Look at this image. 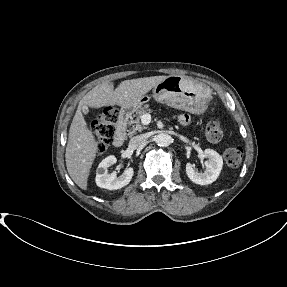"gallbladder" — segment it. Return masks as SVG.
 Listing matches in <instances>:
<instances>
[{"label":"gallbladder","instance_id":"obj_1","mask_svg":"<svg viewBox=\"0 0 287 287\" xmlns=\"http://www.w3.org/2000/svg\"><path fill=\"white\" fill-rule=\"evenodd\" d=\"M82 113H83L84 115H88V114H89V109H88L87 106H83V107H82Z\"/></svg>","mask_w":287,"mask_h":287}]
</instances>
